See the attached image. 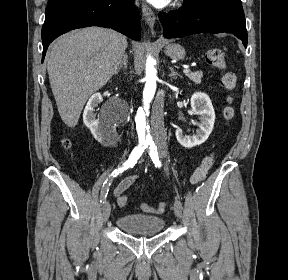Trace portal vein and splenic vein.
<instances>
[{"instance_id":"18ae733b","label":"portal vein and splenic vein","mask_w":288,"mask_h":280,"mask_svg":"<svg viewBox=\"0 0 288 280\" xmlns=\"http://www.w3.org/2000/svg\"><path fill=\"white\" fill-rule=\"evenodd\" d=\"M189 72H190V69H184V70H183V73H186V74H187V73H189Z\"/></svg>"}]
</instances>
